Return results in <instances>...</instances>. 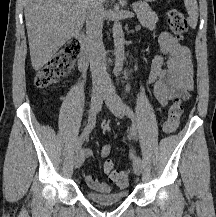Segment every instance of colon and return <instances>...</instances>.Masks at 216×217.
Returning <instances> with one entry per match:
<instances>
[{
  "mask_svg": "<svg viewBox=\"0 0 216 217\" xmlns=\"http://www.w3.org/2000/svg\"><path fill=\"white\" fill-rule=\"evenodd\" d=\"M167 22L170 30L179 40H182L187 32V22L183 13L178 9H172L168 12ZM80 52V44L76 40H72L56 55H54L44 65L35 77V85L39 89H45L60 79L67 77L75 64L76 57ZM183 113V106L179 99H176L169 107L167 118L163 124V132L165 134L173 133L178 125ZM111 130V122L105 120L101 124V131L104 134ZM104 168L109 173L112 181L120 187L127 185V173L124 170L114 168L112 160H108L104 164Z\"/></svg>",
  "mask_w": 216,
  "mask_h": 217,
  "instance_id": "5ec220e1",
  "label": "colon"
}]
</instances>
